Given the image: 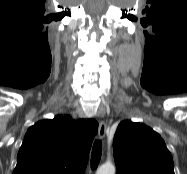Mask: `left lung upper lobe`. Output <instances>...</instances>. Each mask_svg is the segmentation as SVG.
I'll return each instance as SVG.
<instances>
[{
	"mask_svg": "<svg viewBox=\"0 0 187 174\" xmlns=\"http://www.w3.org/2000/svg\"><path fill=\"white\" fill-rule=\"evenodd\" d=\"M117 174H175L165 142L150 127L122 121L113 140Z\"/></svg>",
	"mask_w": 187,
	"mask_h": 174,
	"instance_id": "5c2ea615",
	"label": "left lung upper lobe"
}]
</instances>
